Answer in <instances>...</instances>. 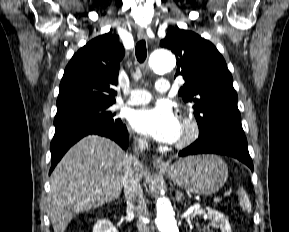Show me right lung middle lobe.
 Wrapping results in <instances>:
<instances>
[{
	"label": "right lung middle lobe",
	"mask_w": 289,
	"mask_h": 232,
	"mask_svg": "<svg viewBox=\"0 0 289 232\" xmlns=\"http://www.w3.org/2000/svg\"><path fill=\"white\" fill-rule=\"evenodd\" d=\"M111 103H80L58 108L54 119L56 129L88 125L108 126L121 123L116 113L109 108Z\"/></svg>",
	"instance_id": "right-lung-middle-lobe-1"
}]
</instances>
